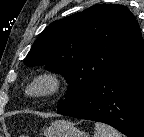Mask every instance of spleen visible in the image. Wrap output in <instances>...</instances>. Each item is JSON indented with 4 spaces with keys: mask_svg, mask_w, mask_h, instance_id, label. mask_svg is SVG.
<instances>
[{
    "mask_svg": "<svg viewBox=\"0 0 144 137\" xmlns=\"http://www.w3.org/2000/svg\"><path fill=\"white\" fill-rule=\"evenodd\" d=\"M94 137H122V135L113 127L97 122L95 123Z\"/></svg>",
    "mask_w": 144,
    "mask_h": 137,
    "instance_id": "spleen-1",
    "label": "spleen"
}]
</instances>
